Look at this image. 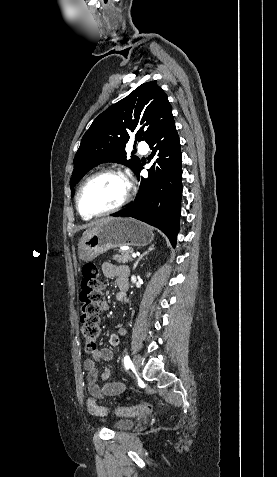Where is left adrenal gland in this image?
Segmentation results:
<instances>
[{"instance_id": "obj_1", "label": "left adrenal gland", "mask_w": 277, "mask_h": 477, "mask_svg": "<svg viewBox=\"0 0 277 477\" xmlns=\"http://www.w3.org/2000/svg\"><path fill=\"white\" fill-rule=\"evenodd\" d=\"M152 250H154V245H151L150 248H149L144 254H142V255L138 258V260H137V261L134 263V265H133V270L137 267L139 261H140L142 258H144V257H145L149 252H151Z\"/></svg>"}]
</instances>
